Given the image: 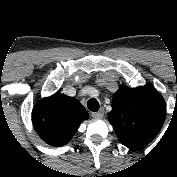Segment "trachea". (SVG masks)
Listing matches in <instances>:
<instances>
[{
	"mask_svg": "<svg viewBox=\"0 0 177 177\" xmlns=\"http://www.w3.org/2000/svg\"><path fill=\"white\" fill-rule=\"evenodd\" d=\"M87 107L90 111L97 112L99 110V102L94 98L89 99L87 102Z\"/></svg>",
	"mask_w": 177,
	"mask_h": 177,
	"instance_id": "trachea-1",
	"label": "trachea"
}]
</instances>
